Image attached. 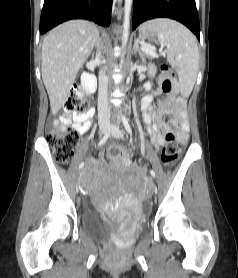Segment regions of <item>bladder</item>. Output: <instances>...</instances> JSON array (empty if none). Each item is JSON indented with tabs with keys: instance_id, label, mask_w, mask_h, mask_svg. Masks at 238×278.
<instances>
[{
	"instance_id": "obj_1",
	"label": "bladder",
	"mask_w": 238,
	"mask_h": 278,
	"mask_svg": "<svg viewBox=\"0 0 238 278\" xmlns=\"http://www.w3.org/2000/svg\"><path fill=\"white\" fill-rule=\"evenodd\" d=\"M118 224L103 218L100 213L93 208H86L82 215L83 231L94 239L112 242L118 236ZM144 229V224H138L129 234L135 235Z\"/></svg>"
}]
</instances>
